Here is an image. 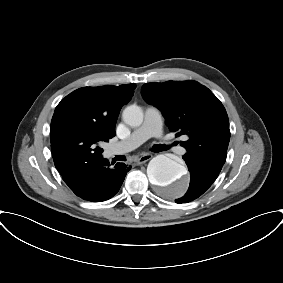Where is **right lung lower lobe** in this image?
<instances>
[{"mask_svg": "<svg viewBox=\"0 0 283 283\" xmlns=\"http://www.w3.org/2000/svg\"><path fill=\"white\" fill-rule=\"evenodd\" d=\"M129 170L124 163L112 166L100 155L72 164L60 174L77 196L98 202L110 199L119 191Z\"/></svg>", "mask_w": 283, "mask_h": 283, "instance_id": "right-lung-lower-lobe-1", "label": "right lung lower lobe"}]
</instances>
